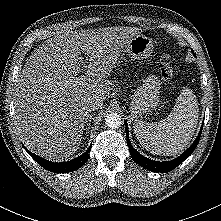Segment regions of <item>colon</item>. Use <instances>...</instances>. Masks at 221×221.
<instances>
[{
	"label": "colon",
	"instance_id": "obj_1",
	"mask_svg": "<svg viewBox=\"0 0 221 221\" xmlns=\"http://www.w3.org/2000/svg\"><path fill=\"white\" fill-rule=\"evenodd\" d=\"M160 74L161 78L165 82H169L174 76V68L172 67L171 60L169 57L165 56L161 60Z\"/></svg>",
	"mask_w": 221,
	"mask_h": 221
}]
</instances>
